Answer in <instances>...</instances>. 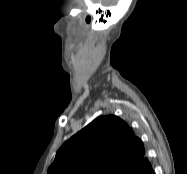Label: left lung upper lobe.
<instances>
[{
  "instance_id": "left-lung-upper-lobe-1",
  "label": "left lung upper lobe",
  "mask_w": 187,
  "mask_h": 174,
  "mask_svg": "<svg viewBox=\"0 0 187 174\" xmlns=\"http://www.w3.org/2000/svg\"><path fill=\"white\" fill-rule=\"evenodd\" d=\"M149 166L142 141L126 122L108 115L65 142L47 174H132Z\"/></svg>"
}]
</instances>
